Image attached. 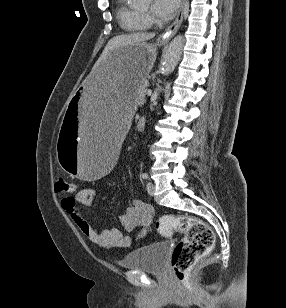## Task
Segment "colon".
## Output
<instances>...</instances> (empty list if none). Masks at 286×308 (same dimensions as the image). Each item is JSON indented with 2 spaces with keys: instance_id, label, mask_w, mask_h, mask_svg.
I'll return each instance as SVG.
<instances>
[{
  "instance_id": "1",
  "label": "colon",
  "mask_w": 286,
  "mask_h": 308,
  "mask_svg": "<svg viewBox=\"0 0 286 308\" xmlns=\"http://www.w3.org/2000/svg\"><path fill=\"white\" fill-rule=\"evenodd\" d=\"M75 187L74 182L64 178H60L55 183L56 192L67 197H71ZM157 229L165 237H170L174 231L184 234L172 253L171 265L178 281L187 284V274L191 267L214 245L213 230L202 220L186 215H164L158 220Z\"/></svg>"
}]
</instances>
